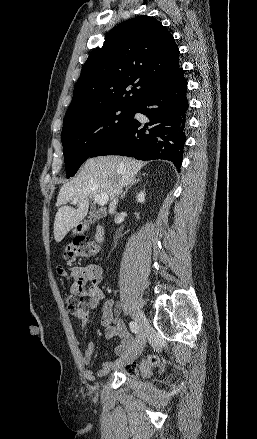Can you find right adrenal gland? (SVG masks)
<instances>
[{
	"label": "right adrenal gland",
	"instance_id": "obj_1",
	"mask_svg": "<svg viewBox=\"0 0 257 439\" xmlns=\"http://www.w3.org/2000/svg\"><path fill=\"white\" fill-rule=\"evenodd\" d=\"M145 175V174H143ZM141 177L139 175L138 178H133L132 181L129 183V186L126 188L125 192L121 195V199H123L125 197V195L127 194L128 190L135 184H137L138 182H140Z\"/></svg>",
	"mask_w": 257,
	"mask_h": 439
}]
</instances>
